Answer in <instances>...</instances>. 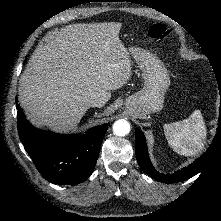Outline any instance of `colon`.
Instances as JSON below:
<instances>
[{"label": "colon", "instance_id": "1", "mask_svg": "<svg viewBox=\"0 0 221 221\" xmlns=\"http://www.w3.org/2000/svg\"><path fill=\"white\" fill-rule=\"evenodd\" d=\"M147 34L154 40L164 41L168 38L169 31L162 24H154L148 29Z\"/></svg>", "mask_w": 221, "mask_h": 221}]
</instances>
